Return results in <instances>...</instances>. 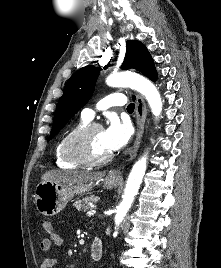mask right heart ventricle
Here are the masks:
<instances>
[{
    "label": "right heart ventricle",
    "mask_w": 221,
    "mask_h": 268,
    "mask_svg": "<svg viewBox=\"0 0 221 268\" xmlns=\"http://www.w3.org/2000/svg\"><path fill=\"white\" fill-rule=\"evenodd\" d=\"M89 122V120L84 119L83 117L81 118L80 122L77 123L74 127L70 128L69 130H67L58 140L56 147H55V151H54V156H55V162L57 164V166H59L60 168H65V169H75V168H79L82 165H78L75 163L70 162L69 160H67L64 155H63V144L65 142V140L67 139V137L73 133L76 129H78L79 127L87 124Z\"/></svg>",
    "instance_id": "obj_1"
}]
</instances>
